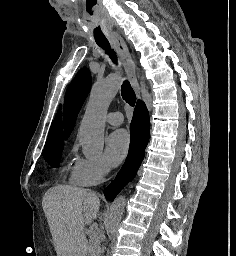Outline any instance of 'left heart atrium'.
<instances>
[{
    "mask_svg": "<svg viewBox=\"0 0 236 256\" xmlns=\"http://www.w3.org/2000/svg\"><path fill=\"white\" fill-rule=\"evenodd\" d=\"M130 149V135L126 130L113 132L107 141V156L113 166H117L125 159Z\"/></svg>",
    "mask_w": 236,
    "mask_h": 256,
    "instance_id": "obj_1",
    "label": "left heart atrium"
}]
</instances>
